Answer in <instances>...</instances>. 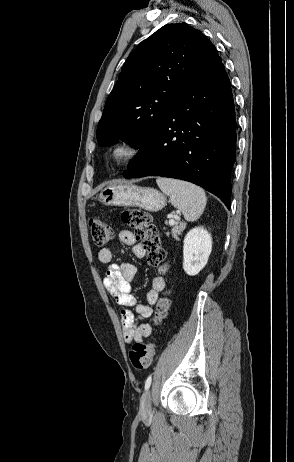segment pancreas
Segmentation results:
<instances>
[{
  "label": "pancreas",
  "mask_w": 294,
  "mask_h": 462,
  "mask_svg": "<svg viewBox=\"0 0 294 462\" xmlns=\"http://www.w3.org/2000/svg\"><path fill=\"white\" fill-rule=\"evenodd\" d=\"M186 228V224L185 223H182L178 226H174L172 229H171V234H172V237L175 239V240H179V236L182 234V232L185 230ZM170 233L167 232V235H169Z\"/></svg>",
  "instance_id": "pancreas-1"
}]
</instances>
